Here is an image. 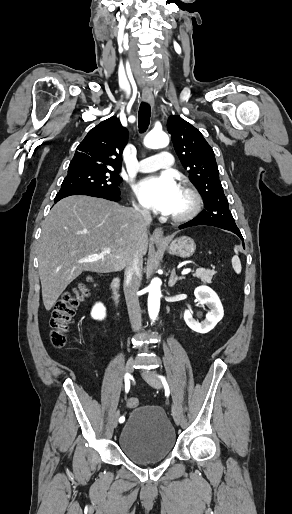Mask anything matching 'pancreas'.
Returning a JSON list of instances; mask_svg holds the SVG:
<instances>
[{"instance_id": "1", "label": "pancreas", "mask_w": 292, "mask_h": 514, "mask_svg": "<svg viewBox=\"0 0 292 514\" xmlns=\"http://www.w3.org/2000/svg\"><path fill=\"white\" fill-rule=\"evenodd\" d=\"M214 274V270H203V268H198L193 276H195V278H200L203 284H211L212 276H214Z\"/></svg>"}]
</instances>
